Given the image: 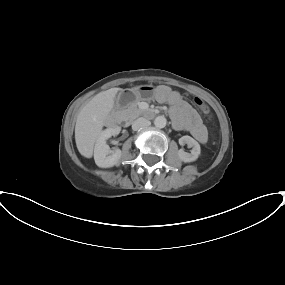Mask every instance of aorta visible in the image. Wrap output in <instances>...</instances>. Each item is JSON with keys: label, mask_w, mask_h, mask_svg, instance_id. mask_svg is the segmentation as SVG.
<instances>
[{"label": "aorta", "mask_w": 285, "mask_h": 285, "mask_svg": "<svg viewBox=\"0 0 285 285\" xmlns=\"http://www.w3.org/2000/svg\"><path fill=\"white\" fill-rule=\"evenodd\" d=\"M167 120L164 116H157L154 120V125L157 128H164L166 126Z\"/></svg>", "instance_id": "762f6f07"}]
</instances>
